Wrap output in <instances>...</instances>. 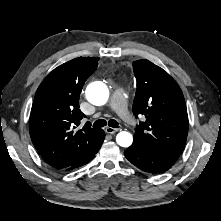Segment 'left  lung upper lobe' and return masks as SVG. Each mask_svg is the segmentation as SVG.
<instances>
[{
    "mask_svg": "<svg viewBox=\"0 0 221 221\" xmlns=\"http://www.w3.org/2000/svg\"><path fill=\"white\" fill-rule=\"evenodd\" d=\"M137 80L133 113L145 117L135 129L134 143L176 162L187 139L185 100L176 81L148 60L133 62Z\"/></svg>",
    "mask_w": 221,
    "mask_h": 221,
    "instance_id": "1",
    "label": "left lung upper lobe"
}]
</instances>
